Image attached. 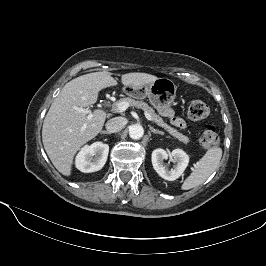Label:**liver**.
Masks as SVG:
<instances>
[{
	"mask_svg": "<svg viewBox=\"0 0 266 266\" xmlns=\"http://www.w3.org/2000/svg\"><path fill=\"white\" fill-rule=\"evenodd\" d=\"M158 77L147 73H127L121 76L124 86L139 87L152 84ZM110 72H94L69 81L54 99L44 119L42 142L55 168L70 176L73 159L77 151L101 132L106 120L103 111L96 110L87 120L86 114L78 113L74 107L93 105L102 89L116 86ZM86 124V129L81 130Z\"/></svg>",
	"mask_w": 266,
	"mask_h": 266,
	"instance_id": "6515ba94",
	"label": "liver"
}]
</instances>
